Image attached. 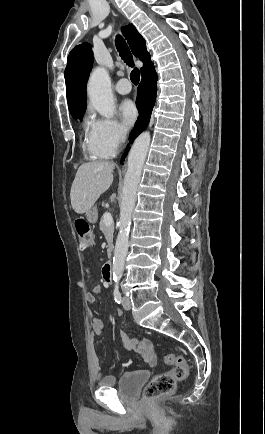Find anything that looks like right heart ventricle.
Listing matches in <instances>:
<instances>
[{"instance_id": "obj_1", "label": "right heart ventricle", "mask_w": 265, "mask_h": 434, "mask_svg": "<svg viewBox=\"0 0 265 434\" xmlns=\"http://www.w3.org/2000/svg\"><path fill=\"white\" fill-rule=\"evenodd\" d=\"M87 122H88V119L85 118V119H84V124L86 125ZM83 148H84V150L89 154V158L92 159V160H103V159H106V158L103 156V154H90V153H89V151H88V148H89V140H88V135H87V133H86L85 136H84V140H83Z\"/></svg>"}]
</instances>
